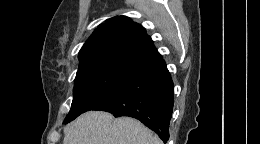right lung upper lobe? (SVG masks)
Here are the masks:
<instances>
[{"mask_svg":"<svg viewBox=\"0 0 260 144\" xmlns=\"http://www.w3.org/2000/svg\"><path fill=\"white\" fill-rule=\"evenodd\" d=\"M162 59L145 29L126 16L100 24L79 52V70L104 66L138 71Z\"/></svg>","mask_w":260,"mask_h":144,"instance_id":"cb5924a9","label":"right lung upper lobe"}]
</instances>
